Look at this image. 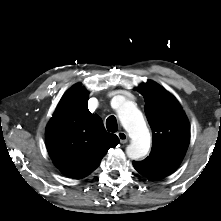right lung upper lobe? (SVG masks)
<instances>
[{
  "instance_id": "obj_1",
  "label": "right lung upper lobe",
  "mask_w": 221,
  "mask_h": 221,
  "mask_svg": "<svg viewBox=\"0 0 221 221\" xmlns=\"http://www.w3.org/2000/svg\"><path fill=\"white\" fill-rule=\"evenodd\" d=\"M88 93L80 84L72 86L60 100L49 121L45 139L54 164L67 176L89 175L110 148L119 143L108 133L101 118L91 114Z\"/></svg>"
}]
</instances>
